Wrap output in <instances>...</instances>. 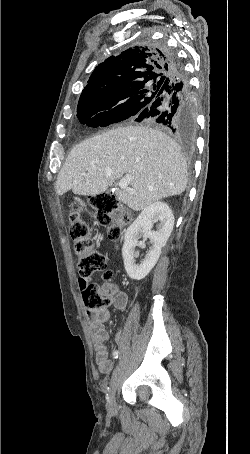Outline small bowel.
Masks as SVG:
<instances>
[{"label":"small bowel","instance_id":"c3829d8e","mask_svg":"<svg viewBox=\"0 0 250 454\" xmlns=\"http://www.w3.org/2000/svg\"><path fill=\"white\" fill-rule=\"evenodd\" d=\"M87 285V281L84 278L79 279V286L82 291ZM102 294H110L112 296L113 306L120 310H126L128 306V296L125 292L121 291L119 287L112 283L104 284L100 289ZM90 317V330L92 333V339L95 348V361L99 371L103 374H109L113 369V363L109 359L108 349L106 341L109 338L108 331L105 327V323L109 320V312L107 310L89 311ZM122 331L116 336V341L120 342Z\"/></svg>","mask_w":250,"mask_h":454}]
</instances>
